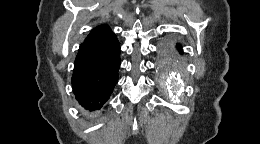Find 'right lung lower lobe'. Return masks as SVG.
Instances as JSON below:
<instances>
[{"label": "right lung lower lobe", "mask_w": 260, "mask_h": 144, "mask_svg": "<svg viewBox=\"0 0 260 144\" xmlns=\"http://www.w3.org/2000/svg\"><path fill=\"white\" fill-rule=\"evenodd\" d=\"M120 45L114 33L84 41L74 63L72 87L79 104L100 109L118 82Z\"/></svg>", "instance_id": "right-lung-lower-lobe-1"}]
</instances>
